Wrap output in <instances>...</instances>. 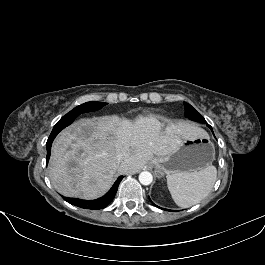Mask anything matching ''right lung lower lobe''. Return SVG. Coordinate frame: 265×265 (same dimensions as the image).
I'll use <instances>...</instances> for the list:
<instances>
[{"instance_id": "1", "label": "right lung lower lobe", "mask_w": 265, "mask_h": 265, "mask_svg": "<svg viewBox=\"0 0 265 265\" xmlns=\"http://www.w3.org/2000/svg\"><path fill=\"white\" fill-rule=\"evenodd\" d=\"M73 122V121H72ZM72 122L67 123L65 125H55L48 140L46 143L47 147V157H46V164L48 163V160L50 158V153H51V145L57 134L66 126L70 125ZM123 179V176H119L116 182L113 184L111 189L101 198H98L96 200H82V199H77V198H68V197H63V199L67 202H69L72 205H75L80 208H85V209H103L105 208L114 198L118 186Z\"/></svg>"}]
</instances>
